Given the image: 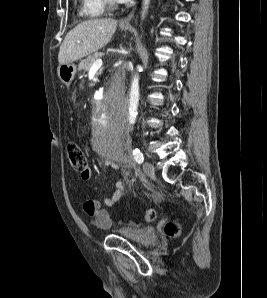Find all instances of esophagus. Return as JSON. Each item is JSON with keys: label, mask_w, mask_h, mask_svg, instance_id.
Masks as SVG:
<instances>
[{"label": "esophagus", "mask_w": 267, "mask_h": 298, "mask_svg": "<svg viewBox=\"0 0 267 298\" xmlns=\"http://www.w3.org/2000/svg\"><path fill=\"white\" fill-rule=\"evenodd\" d=\"M133 17V11L130 12L126 17L122 18L120 21H119V24L121 26H128L130 24V21Z\"/></svg>", "instance_id": "obj_1"}]
</instances>
